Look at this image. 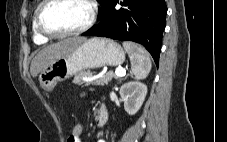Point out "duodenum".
Instances as JSON below:
<instances>
[{"label":"duodenum","mask_w":227,"mask_h":142,"mask_svg":"<svg viewBox=\"0 0 227 142\" xmlns=\"http://www.w3.org/2000/svg\"><path fill=\"white\" fill-rule=\"evenodd\" d=\"M108 120V111L105 105H101L96 116V122L99 127H103Z\"/></svg>","instance_id":"410a0bca"}]
</instances>
